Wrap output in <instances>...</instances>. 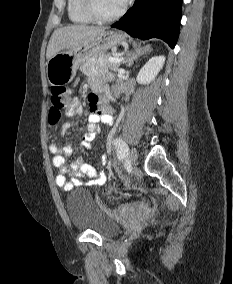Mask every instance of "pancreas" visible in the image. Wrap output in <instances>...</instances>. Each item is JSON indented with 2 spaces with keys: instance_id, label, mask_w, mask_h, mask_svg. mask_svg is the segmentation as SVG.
Instances as JSON below:
<instances>
[{
  "instance_id": "cf45deb5",
  "label": "pancreas",
  "mask_w": 233,
  "mask_h": 284,
  "mask_svg": "<svg viewBox=\"0 0 233 284\" xmlns=\"http://www.w3.org/2000/svg\"><path fill=\"white\" fill-rule=\"evenodd\" d=\"M110 57V54L101 53L81 65L80 70L87 76L101 75L107 73L108 69L116 71L120 63L109 62Z\"/></svg>"
}]
</instances>
